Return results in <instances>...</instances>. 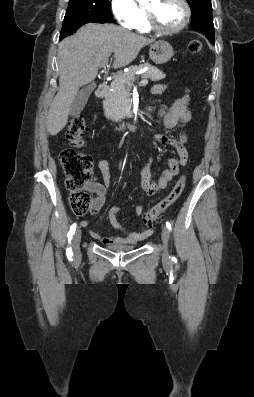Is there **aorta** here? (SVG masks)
<instances>
[{
	"label": "aorta",
	"mask_w": 254,
	"mask_h": 397,
	"mask_svg": "<svg viewBox=\"0 0 254 397\" xmlns=\"http://www.w3.org/2000/svg\"><path fill=\"white\" fill-rule=\"evenodd\" d=\"M139 3H143V2H145L146 0H137Z\"/></svg>",
	"instance_id": "762f6f07"
}]
</instances>
